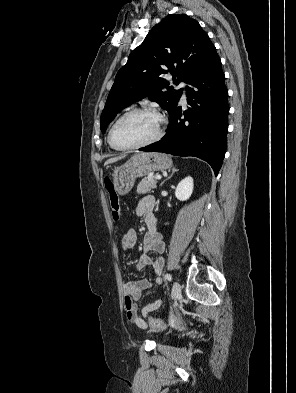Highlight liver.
<instances>
[{"label":"liver","instance_id":"liver-1","mask_svg":"<svg viewBox=\"0 0 296 393\" xmlns=\"http://www.w3.org/2000/svg\"><path fill=\"white\" fill-rule=\"evenodd\" d=\"M124 157H125V155L118 156V157H114V158H110V159H108V160L105 162L104 165H108V164H111V163H115V162H117V161L123 159Z\"/></svg>","mask_w":296,"mask_h":393}]
</instances>
